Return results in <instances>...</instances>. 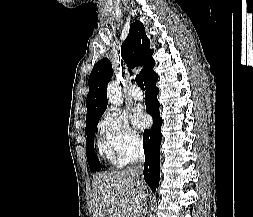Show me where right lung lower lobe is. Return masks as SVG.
I'll return each instance as SVG.
<instances>
[{"label": "right lung lower lobe", "instance_id": "right-lung-lower-lobe-1", "mask_svg": "<svg viewBox=\"0 0 253 217\" xmlns=\"http://www.w3.org/2000/svg\"><path fill=\"white\" fill-rule=\"evenodd\" d=\"M158 75L153 72L144 80L145 83V104L147 112L152 116L154 123L150 130L143 133V147L145 153L144 163V179L151 188L155 191L159 185L160 178V143L162 139L161 124L162 118L159 115L160 103L157 100L159 89L156 87Z\"/></svg>", "mask_w": 253, "mask_h": 217}]
</instances>
